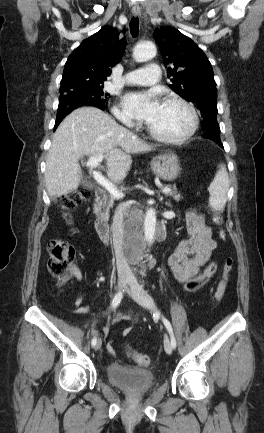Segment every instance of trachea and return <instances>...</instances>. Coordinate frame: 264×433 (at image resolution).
I'll list each match as a JSON object with an SVG mask.
<instances>
[{
  "label": "trachea",
  "instance_id": "3493384b",
  "mask_svg": "<svg viewBox=\"0 0 264 433\" xmlns=\"http://www.w3.org/2000/svg\"><path fill=\"white\" fill-rule=\"evenodd\" d=\"M139 30V19L138 17H132L130 21V32L132 36H136Z\"/></svg>",
  "mask_w": 264,
  "mask_h": 433
}]
</instances>
